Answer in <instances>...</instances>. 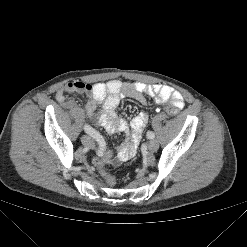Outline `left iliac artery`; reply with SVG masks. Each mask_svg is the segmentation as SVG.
<instances>
[{"label": "left iliac artery", "mask_w": 247, "mask_h": 247, "mask_svg": "<svg viewBox=\"0 0 247 247\" xmlns=\"http://www.w3.org/2000/svg\"><path fill=\"white\" fill-rule=\"evenodd\" d=\"M147 137H148L149 139H154V138H155V134H154L152 131H148V132H147Z\"/></svg>", "instance_id": "obj_1"}]
</instances>
